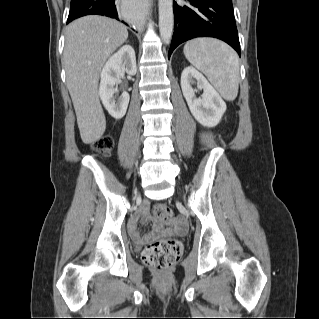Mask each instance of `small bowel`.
Listing matches in <instances>:
<instances>
[{"mask_svg": "<svg viewBox=\"0 0 319 319\" xmlns=\"http://www.w3.org/2000/svg\"><path fill=\"white\" fill-rule=\"evenodd\" d=\"M148 205L149 202L147 199H144L141 203L138 210L133 214L131 217V220L128 224V230L131 233L132 236L139 238V231L137 229V220L139 216L142 217V219L145 222H151L155 228L156 235L158 236L162 233H168V234H182L186 230V222L185 220L180 216H175L172 218L168 225L169 227L167 229H164V224L160 220L151 219L148 215ZM152 237H149L145 239V241L150 240Z\"/></svg>", "mask_w": 319, "mask_h": 319, "instance_id": "1", "label": "small bowel"}]
</instances>
